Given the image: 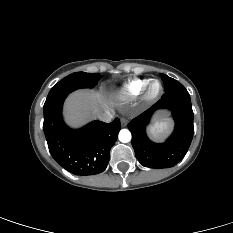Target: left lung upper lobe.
<instances>
[{
    "label": "left lung upper lobe",
    "instance_id": "obj_1",
    "mask_svg": "<svg viewBox=\"0 0 233 233\" xmlns=\"http://www.w3.org/2000/svg\"><path fill=\"white\" fill-rule=\"evenodd\" d=\"M161 79L164 82V86H165V90H169L172 89L173 87H175L177 84H179L178 81H176L175 79L165 75V74H161Z\"/></svg>",
    "mask_w": 233,
    "mask_h": 233
}]
</instances>
